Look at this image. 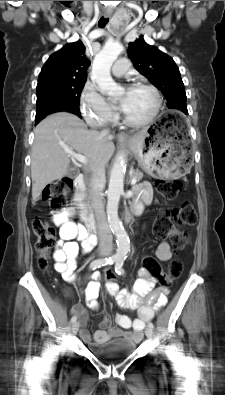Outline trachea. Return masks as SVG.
Segmentation results:
<instances>
[{
	"label": "trachea",
	"instance_id": "1",
	"mask_svg": "<svg viewBox=\"0 0 225 395\" xmlns=\"http://www.w3.org/2000/svg\"><path fill=\"white\" fill-rule=\"evenodd\" d=\"M108 21H109V18L101 17L98 24L101 28H103L108 23Z\"/></svg>",
	"mask_w": 225,
	"mask_h": 395
}]
</instances>
